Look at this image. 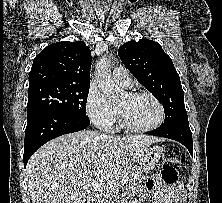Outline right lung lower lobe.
Masks as SVG:
<instances>
[{
	"instance_id": "right-lung-lower-lobe-1",
	"label": "right lung lower lobe",
	"mask_w": 222,
	"mask_h": 203,
	"mask_svg": "<svg viewBox=\"0 0 222 203\" xmlns=\"http://www.w3.org/2000/svg\"><path fill=\"white\" fill-rule=\"evenodd\" d=\"M90 124L89 118L82 115H68L45 112L28 117L25 129L24 166L32 154L46 142L76 131L85 129Z\"/></svg>"
}]
</instances>
